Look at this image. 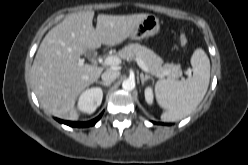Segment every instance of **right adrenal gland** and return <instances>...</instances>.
Returning a JSON list of instances; mask_svg holds the SVG:
<instances>
[{
	"mask_svg": "<svg viewBox=\"0 0 248 165\" xmlns=\"http://www.w3.org/2000/svg\"><path fill=\"white\" fill-rule=\"evenodd\" d=\"M96 83H99V84H101V85H104V86H110V83H105V82H103V81H96Z\"/></svg>",
	"mask_w": 248,
	"mask_h": 165,
	"instance_id": "1",
	"label": "right adrenal gland"
}]
</instances>
